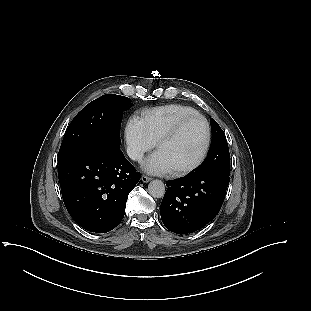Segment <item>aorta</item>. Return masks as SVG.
<instances>
[{
  "mask_svg": "<svg viewBox=\"0 0 311 311\" xmlns=\"http://www.w3.org/2000/svg\"><path fill=\"white\" fill-rule=\"evenodd\" d=\"M148 192L154 198H162L165 194V185L161 180H152L148 185Z\"/></svg>",
  "mask_w": 311,
  "mask_h": 311,
  "instance_id": "aorta-1",
  "label": "aorta"
}]
</instances>
